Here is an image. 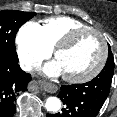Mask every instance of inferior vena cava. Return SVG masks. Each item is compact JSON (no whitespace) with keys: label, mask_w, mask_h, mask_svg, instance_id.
Masks as SVG:
<instances>
[{"label":"inferior vena cava","mask_w":117,"mask_h":117,"mask_svg":"<svg viewBox=\"0 0 117 117\" xmlns=\"http://www.w3.org/2000/svg\"><path fill=\"white\" fill-rule=\"evenodd\" d=\"M20 66L24 71H31L33 66L38 68L40 64L33 60H25L20 62Z\"/></svg>","instance_id":"602c4592"}]
</instances>
